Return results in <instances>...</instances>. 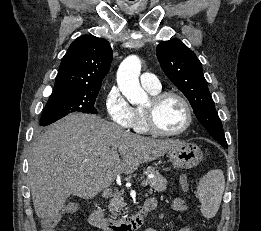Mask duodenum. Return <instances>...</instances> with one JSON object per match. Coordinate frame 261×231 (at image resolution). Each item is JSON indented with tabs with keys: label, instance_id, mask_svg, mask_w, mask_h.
Instances as JSON below:
<instances>
[{
	"label": "duodenum",
	"instance_id": "duodenum-1",
	"mask_svg": "<svg viewBox=\"0 0 261 231\" xmlns=\"http://www.w3.org/2000/svg\"><path fill=\"white\" fill-rule=\"evenodd\" d=\"M153 208V204L146 201L134 215L119 221L104 217L97 208L90 215V224L103 231H135Z\"/></svg>",
	"mask_w": 261,
	"mask_h": 231
}]
</instances>
